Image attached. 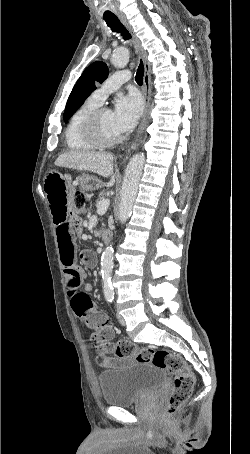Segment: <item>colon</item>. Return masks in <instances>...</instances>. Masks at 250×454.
I'll return each mask as SVG.
<instances>
[{"mask_svg": "<svg viewBox=\"0 0 250 454\" xmlns=\"http://www.w3.org/2000/svg\"><path fill=\"white\" fill-rule=\"evenodd\" d=\"M90 209L88 196L77 191L74 194L72 217L79 218ZM91 330L90 341L93 348L101 355L117 357H135L140 362H151L155 367L167 371L173 377V389L167 403V413L175 415L192 394L195 376L183 357L167 350L139 348L126 340L112 343L113 329L108 324L105 314H93L86 324Z\"/></svg>", "mask_w": 250, "mask_h": 454, "instance_id": "obj_1", "label": "colon"}]
</instances>
